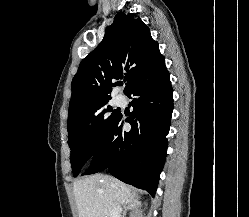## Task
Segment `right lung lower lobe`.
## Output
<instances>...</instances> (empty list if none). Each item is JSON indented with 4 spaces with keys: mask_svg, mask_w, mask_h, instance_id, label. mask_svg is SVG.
Segmentation results:
<instances>
[{
    "mask_svg": "<svg viewBox=\"0 0 249 217\" xmlns=\"http://www.w3.org/2000/svg\"><path fill=\"white\" fill-rule=\"evenodd\" d=\"M125 94L133 97L134 110L125 120L131 124V130H124L120 114L83 174L109 169L114 177L154 197L166 158V136L173 110V90L163 55L155 58Z\"/></svg>",
    "mask_w": 249,
    "mask_h": 217,
    "instance_id": "obj_1",
    "label": "right lung lower lobe"
}]
</instances>
